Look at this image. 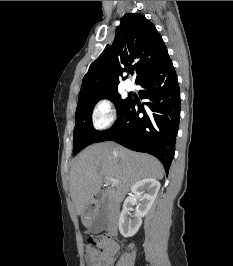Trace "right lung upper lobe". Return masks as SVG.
Instances as JSON below:
<instances>
[{"instance_id":"obj_1","label":"right lung upper lobe","mask_w":233,"mask_h":266,"mask_svg":"<svg viewBox=\"0 0 233 266\" xmlns=\"http://www.w3.org/2000/svg\"><path fill=\"white\" fill-rule=\"evenodd\" d=\"M168 56L161 35L145 16L125 14L116 28L112 46L105 47L83 77L78 100L116 89L118 76L131 66L136 72L137 83Z\"/></svg>"}]
</instances>
